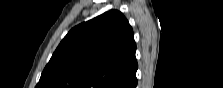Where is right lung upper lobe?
Segmentation results:
<instances>
[{
	"mask_svg": "<svg viewBox=\"0 0 223 88\" xmlns=\"http://www.w3.org/2000/svg\"><path fill=\"white\" fill-rule=\"evenodd\" d=\"M134 34L117 10L72 28L36 88H131L138 68Z\"/></svg>",
	"mask_w": 223,
	"mask_h": 88,
	"instance_id": "cb5924a9",
	"label": "right lung upper lobe"
}]
</instances>
